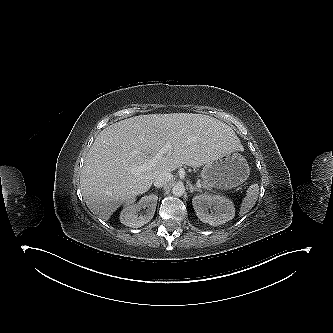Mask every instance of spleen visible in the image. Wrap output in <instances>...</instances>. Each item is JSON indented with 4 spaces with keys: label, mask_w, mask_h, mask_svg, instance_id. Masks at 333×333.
I'll return each instance as SVG.
<instances>
[{
    "label": "spleen",
    "mask_w": 333,
    "mask_h": 333,
    "mask_svg": "<svg viewBox=\"0 0 333 333\" xmlns=\"http://www.w3.org/2000/svg\"><path fill=\"white\" fill-rule=\"evenodd\" d=\"M259 195V185L252 184L248 190L245 198L242 200L240 207V216L248 213L255 205Z\"/></svg>",
    "instance_id": "obj_1"
}]
</instances>
